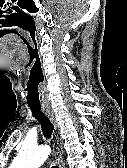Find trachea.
Instances as JSON below:
<instances>
[{"label":"trachea","instance_id":"trachea-1","mask_svg":"<svg viewBox=\"0 0 127 168\" xmlns=\"http://www.w3.org/2000/svg\"><path fill=\"white\" fill-rule=\"evenodd\" d=\"M33 116L38 120L41 125L44 137L46 139L51 138L54 127L49 118L42 112L41 106H29ZM52 168H58V166L54 165Z\"/></svg>","mask_w":127,"mask_h":168}]
</instances>
